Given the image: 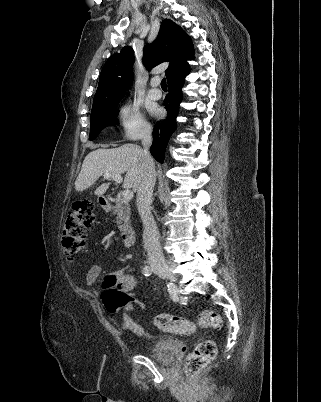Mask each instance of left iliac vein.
I'll return each mask as SVG.
<instances>
[{"label": "left iliac vein", "instance_id": "4c4485c4", "mask_svg": "<svg viewBox=\"0 0 321 402\" xmlns=\"http://www.w3.org/2000/svg\"><path fill=\"white\" fill-rule=\"evenodd\" d=\"M155 273L158 274L161 278H165V277H166L165 275L159 273L158 271H155Z\"/></svg>", "mask_w": 321, "mask_h": 402}]
</instances>
